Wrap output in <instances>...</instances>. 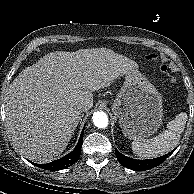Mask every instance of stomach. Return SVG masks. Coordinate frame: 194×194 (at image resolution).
Listing matches in <instances>:
<instances>
[{
	"label": "stomach",
	"instance_id": "0dacf381",
	"mask_svg": "<svg viewBox=\"0 0 194 194\" xmlns=\"http://www.w3.org/2000/svg\"><path fill=\"white\" fill-rule=\"evenodd\" d=\"M122 88L112 105L114 115L128 138L144 139L162 124V98L138 70L126 73Z\"/></svg>",
	"mask_w": 194,
	"mask_h": 194
}]
</instances>
